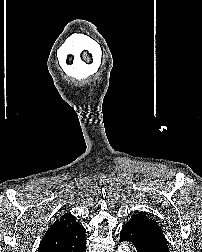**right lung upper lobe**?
Here are the masks:
<instances>
[{"mask_svg":"<svg viewBox=\"0 0 202 252\" xmlns=\"http://www.w3.org/2000/svg\"><path fill=\"white\" fill-rule=\"evenodd\" d=\"M85 243V228L66 213L47 230L38 252H82Z\"/></svg>","mask_w":202,"mask_h":252,"instance_id":"cb5924a9","label":"right lung upper lobe"}]
</instances>
